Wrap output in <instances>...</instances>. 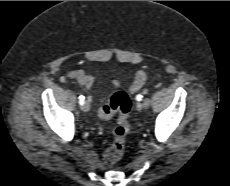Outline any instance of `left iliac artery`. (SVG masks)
Returning <instances> with one entry per match:
<instances>
[{"label": "left iliac artery", "instance_id": "44dca946", "mask_svg": "<svg viewBox=\"0 0 230 186\" xmlns=\"http://www.w3.org/2000/svg\"><path fill=\"white\" fill-rule=\"evenodd\" d=\"M142 97H143V96H142L141 94H138V95L136 96V100H137V101H141V100H142Z\"/></svg>", "mask_w": 230, "mask_h": 186}]
</instances>
